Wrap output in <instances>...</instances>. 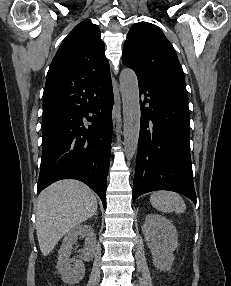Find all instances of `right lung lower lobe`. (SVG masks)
Returning a JSON list of instances; mask_svg holds the SVG:
<instances>
[{
  "label": "right lung lower lobe",
  "mask_w": 231,
  "mask_h": 286,
  "mask_svg": "<svg viewBox=\"0 0 231 286\" xmlns=\"http://www.w3.org/2000/svg\"><path fill=\"white\" fill-rule=\"evenodd\" d=\"M111 77L88 83L42 120L43 152L37 192L61 179L87 184L106 203L112 140ZM88 113H92L91 116ZM92 124L83 125V118Z\"/></svg>",
  "instance_id": "1"
}]
</instances>
